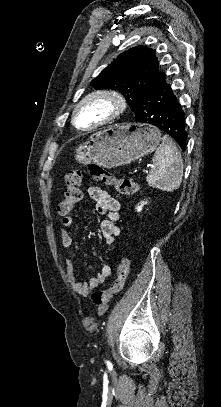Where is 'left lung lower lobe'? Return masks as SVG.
Returning <instances> with one entry per match:
<instances>
[{
    "instance_id": "left-lung-lower-lobe-1",
    "label": "left lung lower lobe",
    "mask_w": 221,
    "mask_h": 407,
    "mask_svg": "<svg viewBox=\"0 0 221 407\" xmlns=\"http://www.w3.org/2000/svg\"><path fill=\"white\" fill-rule=\"evenodd\" d=\"M135 120L165 131L184 150L187 140L185 113L165 74L140 93Z\"/></svg>"
}]
</instances>
